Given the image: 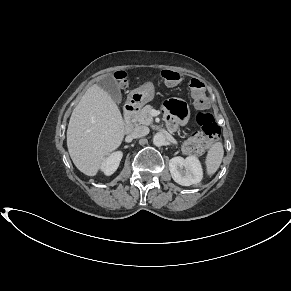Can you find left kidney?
Wrapping results in <instances>:
<instances>
[{"label": "left kidney", "mask_w": 291, "mask_h": 291, "mask_svg": "<svg viewBox=\"0 0 291 291\" xmlns=\"http://www.w3.org/2000/svg\"><path fill=\"white\" fill-rule=\"evenodd\" d=\"M169 170L173 180L182 185L198 184L203 177V169L196 156L174 157L169 161Z\"/></svg>", "instance_id": "5707ae66"}]
</instances>
